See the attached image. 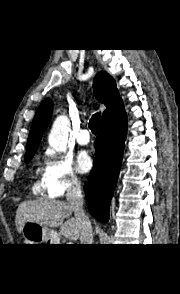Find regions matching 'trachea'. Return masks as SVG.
<instances>
[{"label": "trachea", "instance_id": "1", "mask_svg": "<svg viewBox=\"0 0 180 294\" xmlns=\"http://www.w3.org/2000/svg\"><path fill=\"white\" fill-rule=\"evenodd\" d=\"M99 123H100V113L93 114L89 122V128L92 131V133L95 135L97 134Z\"/></svg>", "mask_w": 180, "mask_h": 294}]
</instances>
